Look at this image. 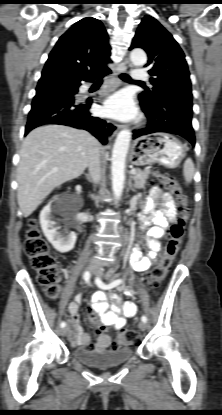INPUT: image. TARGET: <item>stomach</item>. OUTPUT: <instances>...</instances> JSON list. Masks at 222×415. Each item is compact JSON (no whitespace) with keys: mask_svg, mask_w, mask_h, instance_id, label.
Wrapping results in <instances>:
<instances>
[{"mask_svg":"<svg viewBox=\"0 0 222 415\" xmlns=\"http://www.w3.org/2000/svg\"><path fill=\"white\" fill-rule=\"evenodd\" d=\"M185 155L186 147L177 138L167 133H154L134 141L130 161L136 166L161 163L175 168Z\"/></svg>","mask_w":222,"mask_h":415,"instance_id":"0dacf381","label":"stomach"}]
</instances>
